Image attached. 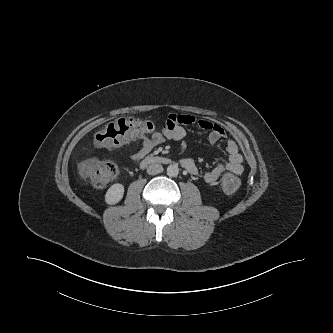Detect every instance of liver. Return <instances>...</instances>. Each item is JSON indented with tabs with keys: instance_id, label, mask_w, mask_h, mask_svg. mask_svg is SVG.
<instances>
[{
	"instance_id": "6515ba94",
	"label": "liver",
	"mask_w": 333,
	"mask_h": 333,
	"mask_svg": "<svg viewBox=\"0 0 333 333\" xmlns=\"http://www.w3.org/2000/svg\"><path fill=\"white\" fill-rule=\"evenodd\" d=\"M79 174H80V176L83 178V175H82L81 171L79 172Z\"/></svg>"
}]
</instances>
